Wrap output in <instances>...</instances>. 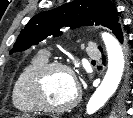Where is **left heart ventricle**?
I'll use <instances>...</instances> for the list:
<instances>
[{"label": "left heart ventricle", "instance_id": "left-heart-ventricle-1", "mask_svg": "<svg viewBox=\"0 0 133 118\" xmlns=\"http://www.w3.org/2000/svg\"><path fill=\"white\" fill-rule=\"evenodd\" d=\"M73 76L64 70H54L44 79L42 96L46 103L61 106L69 103L76 94Z\"/></svg>", "mask_w": 133, "mask_h": 118}]
</instances>
